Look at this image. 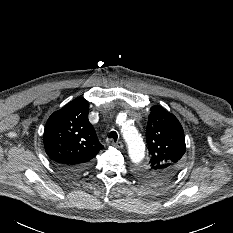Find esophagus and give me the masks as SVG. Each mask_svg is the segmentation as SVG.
<instances>
[{
	"mask_svg": "<svg viewBox=\"0 0 233 233\" xmlns=\"http://www.w3.org/2000/svg\"><path fill=\"white\" fill-rule=\"evenodd\" d=\"M113 146H115L118 149H122L124 145L121 141H117V142H113Z\"/></svg>",
	"mask_w": 233,
	"mask_h": 233,
	"instance_id": "34e87169",
	"label": "esophagus"
}]
</instances>
